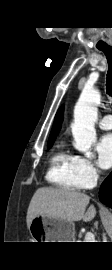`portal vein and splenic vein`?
Instances as JSON below:
<instances>
[{"label": "portal vein and splenic vein", "mask_w": 112, "mask_h": 270, "mask_svg": "<svg viewBox=\"0 0 112 270\" xmlns=\"http://www.w3.org/2000/svg\"><path fill=\"white\" fill-rule=\"evenodd\" d=\"M85 242H95V236L92 232H87L85 235Z\"/></svg>", "instance_id": "18ae733b"}]
</instances>
